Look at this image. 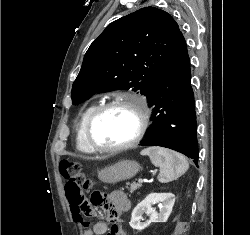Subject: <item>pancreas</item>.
Wrapping results in <instances>:
<instances>
[{
	"instance_id": "cf45deb5",
	"label": "pancreas",
	"mask_w": 250,
	"mask_h": 235,
	"mask_svg": "<svg viewBox=\"0 0 250 235\" xmlns=\"http://www.w3.org/2000/svg\"><path fill=\"white\" fill-rule=\"evenodd\" d=\"M141 187V184L132 183L129 187V190L131 193H133L135 190L139 189Z\"/></svg>"
}]
</instances>
